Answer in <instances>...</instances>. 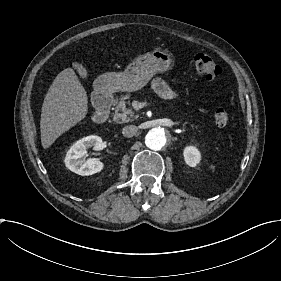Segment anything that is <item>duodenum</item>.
Listing matches in <instances>:
<instances>
[{"label": "duodenum", "mask_w": 281, "mask_h": 281, "mask_svg": "<svg viewBox=\"0 0 281 281\" xmlns=\"http://www.w3.org/2000/svg\"><path fill=\"white\" fill-rule=\"evenodd\" d=\"M96 111L94 113V120L96 123L102 124L107 121L112 105V96L106 91H98L93 98Z\"/></svg>", "instance_id": "duodenum-1"}]
</instances>
